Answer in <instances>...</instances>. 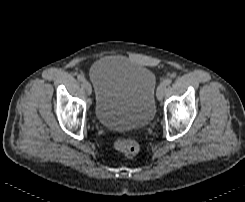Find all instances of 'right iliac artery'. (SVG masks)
<instances>
[{"instance_id":"right-iliac-artery-1","label":"right iliac artery","mask_w":245,"mask_h":202,"mask_svg":"<svg viewBox=\"0 0 245 202\" xmlns=\"http://www.w3.org/2000/svg\"><path fill=\"white\" fill-rule=\"evenodd\" d=\"M77 79H78L79 81H84V80H85V77H84L83 75H78V76H77Z\"/></svg>"}]
</instances>
